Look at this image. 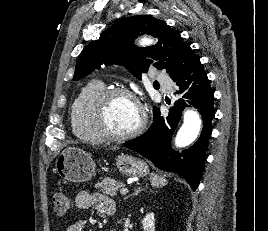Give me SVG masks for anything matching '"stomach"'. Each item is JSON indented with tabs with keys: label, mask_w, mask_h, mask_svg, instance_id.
I'll return each mask as SVG.
<instances>
[{
	"label": "stomach",
	"mask_w": 268,
	"mask_h": 231,
	"mask_svg": "<svg viewBox=\"0 0 268 231\" xmlns=\"http://www.w3.org/2000/svg\"><path fill=\"white\" fill-rule=\"evenodd\" d=\"M121 174L130 177H144L148 174L147 164L129 155L121 154L115 163ZM95 162L90 153L85 150L69 146L58 156L55 170L58 175L69 182L82 183L90 180L95 175Z\"/></svg>",
	"instance_id": "obj_1"
}]
</instances>
